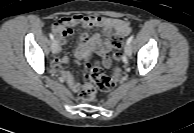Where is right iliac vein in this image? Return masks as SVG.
<instances>
[{"label": "right iliac vein", "mask_w": 194, "mask_h": 133, "mask_svg": "<svg viewBox=\"0 0 194 133\" xmlns=\"http://www.w3.org/2000/svg\"><path fill=\"white\" fill-rule=\"evenodd\" d=\"M58 43L57 41L53 40L52 44H51V50L53 54H56L58 52Z\"/></svg>", "instance_id": "right-iliac-vein-1"}]
</instances>
